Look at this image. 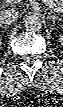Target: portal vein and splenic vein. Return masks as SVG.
Returning a JSON list of instances; mask_svg holds the SVG:
<instances>
[{
    "label": "portal vein and splenic vein",
    "mask_w": 63,
    "mask_h": 107,
    "mask_svg": "<svg viewBox=\"0 0 63 107\" xmlns=\"http://www.w3.org/2000/svg\"><path fill=\"white\" fill-rule=\"evenodd\" d=\"M6 3L12 4L14 2H13V0H6ZM44 3L47 7H49L50 9H53L55 12L63 13V9L62 8H59V9L56 8V6L52 0H44Z\"/></svg>",
    "instance_id": "1"
}]
</instances>
